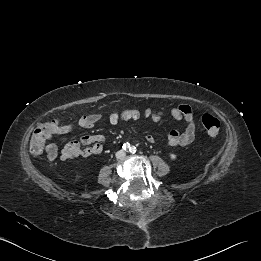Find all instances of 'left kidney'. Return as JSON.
<instances>
[{
  "instance_id": "left-kidney-1",
  "label": "left kidney",
  "mask_w": 261,
  "mask_h": 261,
  "mask_svg": "<svg viewBox=\"0 0 261 261\" xmlns=\"http://www.w3.org/2000/svg\"><path fill=\"white\" fill-rule=\"evenodd\" d=\"M169 157H170V159L175 160L177 156L175 154L171 153V154H169Z\"/></svg>"
}]
</instances>
